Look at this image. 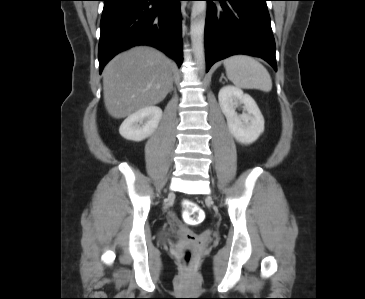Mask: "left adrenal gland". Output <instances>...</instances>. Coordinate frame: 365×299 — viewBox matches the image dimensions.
<instances>
[{
    "label": "left adrenal gland",
    "instance_id": "a2214340",
    "mask_svg": "<svg viewBox=\"0 0 365 299\" xmlns=\"http://www.w3.org/2000/svg\"><path fill=\"white\" fill-rule=\"evenodd\" d=\"M222 79H225L224 74L221 75L219 81L222 82ZM226 80V79H225Z\"/></svg>",
    "mask_w": 365,
    "mask_h": 299
}]
</instances>
